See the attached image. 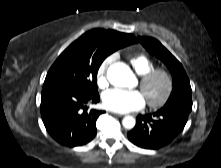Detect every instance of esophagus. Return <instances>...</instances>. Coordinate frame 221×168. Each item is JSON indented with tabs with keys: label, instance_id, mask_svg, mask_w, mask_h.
<instances>
[{
	"label": "esophagus",
	"instance_id": "esophagus-1",
	"mask_svg": "<svg viewBox=\"0 0 221 168\" xmlns=\"http://www.w3.org/2000/svg\"><path fill=\"white\" fill-rule=\"evenodd\" d=\"M111 114H113L114 116H117V117H122L123 116L122 114L115 113V112H111Z\"/></svg>",
	"mask_w": 221,
	"mask_h": 168
}]
</instances>
